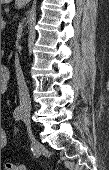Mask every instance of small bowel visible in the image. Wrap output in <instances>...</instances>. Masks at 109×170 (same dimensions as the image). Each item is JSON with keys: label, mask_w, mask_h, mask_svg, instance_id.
Masks as SVG:
<instances>
[{"label": "small bowel", "mask_w": 109, "mask_h": 170, "mask_svg": "<svg viewBox=\"0 0 109 170\" xmlns=\"http://www.w3.org/2000/svg\"><path fill=\"white\" fill-rule=\"evenodd\" d=\"M8 138L5 132L1 133V146H5L7 144Z\"/></svg>", "instance_id": "small-bowel-1"}]
</instances>
